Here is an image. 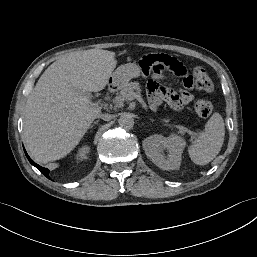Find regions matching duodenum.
Here are the masks:
<instances>
[{"instance_id":"obj_1","label":"duodenum","mask_w":257,"mask_h":257,"mask_svg":"<svg viewBox=\"0 0 257 257\" xmlns=\"http://www.w3.org/2000/svg\"><path fill=\"white\" fill-rule=\"evenodd\" d=\"M118 85L115 82H110V84L107 87L108 92H114L117 89Z\"/></svg>"}]
</instances>
